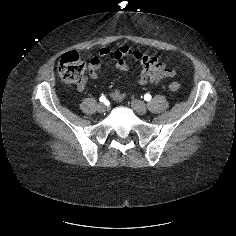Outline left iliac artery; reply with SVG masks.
Wrapping results in <instances>:
<instances>
[{"label":"left iliac artery","mask_w":236,"mask_h":236,"mask_svg":"<svg viewBox=\"0 0 236 236\" xmlns=\"http://www.w3.org/2000/svg\"><path fill=\"white\" fill-rule=\"evenodd\" d=\"M144 99L146 100V101H150L151 100V95L150 94H145L144 95Z\"/></svg>","instance_id":"obj_1"}]
</instances>
